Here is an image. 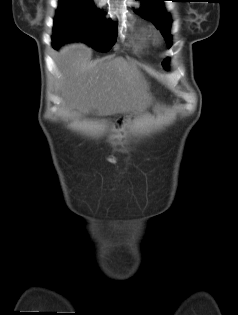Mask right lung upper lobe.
I'll use <instances>...</instances> for the list:
<instances>
[{
    "mask_svg": "<svg viewBox=\"0 0 238 315\" xmlns=\"http://www.w3.org/2000/svg\"><path fill=\"white\" fill-rule=\"evenodd\" d=\"M77 1H85V2H90V3H92L90 0H77Z\"/></svg>",
    "mask_w": 238,
    "mask_h": 315,
    "instance_id": "cb5924a9",
    "label": "right lung upper lobe"
}]
</instances>
